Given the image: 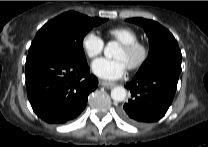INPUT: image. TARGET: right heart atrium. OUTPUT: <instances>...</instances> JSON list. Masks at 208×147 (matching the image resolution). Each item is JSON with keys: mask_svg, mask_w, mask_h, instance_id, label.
Returning a JSON list of instances; mask_svg holds the SVG:
<instances>
[{"mask_svg": "<svg viewBox=\"0 0 208 147\" xmlns=\"http://www.w3.org/2000/svg\"><path fill=\"white\" fill-rule=\"evenodd\" d=\"M104 46V40L95 32L86 33L82 39L83 50L89 58L99 56L102 53Z\"/></svg>", "mask_w": 208, "mask_h": 147, "instance_id": "right-heart-atrium-1", "label": "right heart atrium"}]
</instances>
